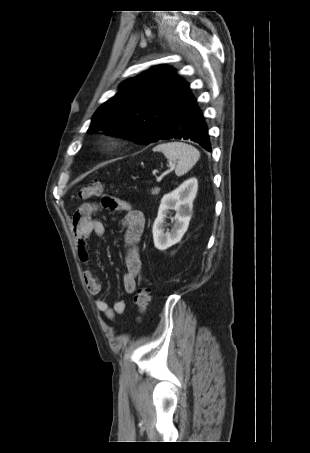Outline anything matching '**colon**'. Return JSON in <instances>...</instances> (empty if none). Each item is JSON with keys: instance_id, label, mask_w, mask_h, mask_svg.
Returning <instances> with one entry per match:
<instances>
[{"instance_id": "5ec220e1", "label": "colon", "mask_w": 310, "mask_h": 453, "mask_svg": "<svg viewBox=\"0 0 310 453\" xmlns=\"http://www.w3.org/2000/svg\"><path fill=\"white\" fill-rule=\"evenodd\" d=\"M103 193V184L100 181H94L92 183L82 186L77 192V199L88 200L92 197L99 196ZM103 203L106 206L112 207L113 200L110 197H105ZM135 306L139 315H143L150 302V290L148 287L141 286L138 288L134 297Z\"/></svg>"}]
</instances>
